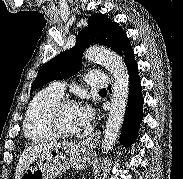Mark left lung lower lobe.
Returning a JSON list of instances; mask_svg holds the SVG:
<instances>
[{
    "mask_svg": "<svg viewBox=\"0 0 183 179\" xmlns=\"http://www.w3.org/2000/svg\"><path fill=\"white\" fill-rule=\"evenodd\" d=\"M116 52L121 56H124V61L129 72V97L125 112V120L120 136L121 144L128 147L137 138V133L142 121L144 100L141 94V85L138 76V68L134 60V52L130 46V41L126 34L121 38Z\"/></svg>",
    "mask_w": 183,
    "mask_h": 179,
    "instance_id": "obj_1",
    "label": "left lung lower lobe"
}]
</instances>
